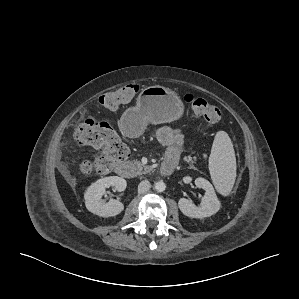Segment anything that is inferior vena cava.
I'll return each mask as SVG.
<instances>
[{"label": "inferior vena cava", "instance_id": "1", "mask_svg": "<svg viewBox=\"0 0 299 299\" xmlns=\"http://www.w3.org/2000/svg\"><path fill=\"white\" fill-rule=\"evenodd\" d=\"M151 188V184L148 180H143L138 185V193L144 194Z\"/></svg>", "mask_w": 299, "mask_h": 299}]
</instances>
